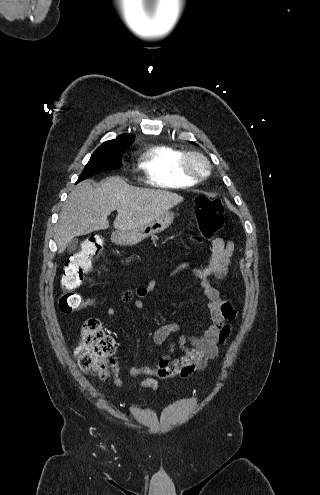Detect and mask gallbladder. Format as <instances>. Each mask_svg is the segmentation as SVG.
<instances>
[{"mask_svg": "<svg viewBox=\"0 0 320 495\" xmlns=\"http://www.w3.org/2000/svg\"><path fill=\"white\" fill-rule=\"evenodd\" d=\"M77 243H78V241H77V239H76V238H75V239H72V240L69 242V244H68L67 248H68V251H69L70 253L75 251L76 246H77Z\"/></svg>", "mask_w": 320, "mask_h": 495, "instance_id": "gallbladder-1", "label": "gallbladder"}]
</instances>
